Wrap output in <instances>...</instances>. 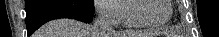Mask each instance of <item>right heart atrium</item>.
<instances>
[{
    "mask_svg": "<svg viewBox=\"0 0 219 37\" xmlns=\"http://www.w3.org/2000/svg\"><path fill=\"white\" fill-rule=\"evenodd\" d=\"M96 7L99 14L106 20L118 23L124 18V9L121 0H98Z\"/></svg>",
    "mask_w": 219,
    "mask_h": 37,
    "instance_id": "obj_1",
    "label": "right heart atrium"
}]
</instances>
